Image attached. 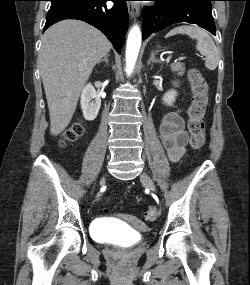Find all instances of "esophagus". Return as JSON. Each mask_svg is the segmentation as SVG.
I'll return each mask as SVG.
<instances>
[{
  "instance_id": "1",
  "label": "esophagus",
  "mask_w": 250,
  "mask_h": 285,
  "mask_svg": "<svg viewBox=\"0 0 250 285\" xmlns=\"http://www.w3.org/2000/svg\"><path fill=\"white\" fill-rule=\"evenodd\" d=\"M128 13L131 19H134L139 16V8L138 6L130 3L128 4Z\"/></svg>"
}]
</instances>
